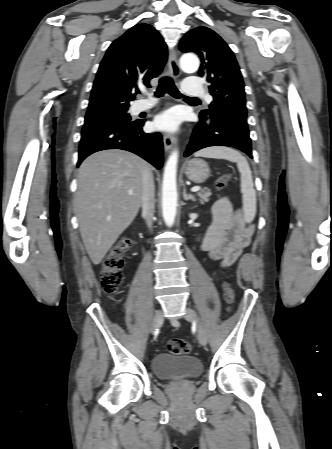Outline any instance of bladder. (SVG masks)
Instances as JSON below:
<instances>
[{
    "mask_svg": "<svg viewBox=\"0 0 332 449\" xmlns=\"http://www.w3.org/2000/svg\"><path fill=\"white\" fill-rule=\"evenodd\" d=\"M201 362L190 355L160 353L152 359V372L160 380L191 379L201 375Z\"/></svg>",
    "mask_w": 332,
    "mask_h": 449,
    "instance_id": "obj_1",
    "label": "bladder"
}]
</instances>
